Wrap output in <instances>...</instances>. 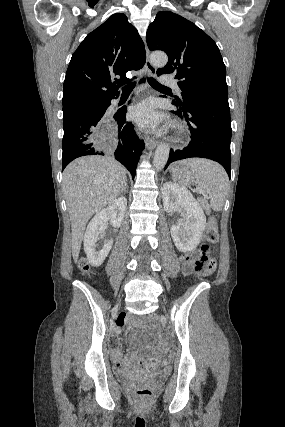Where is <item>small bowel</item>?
<instances>
[{
	"mask_svg": "<svg viewBox=\"0 0 285 427\" xmlns=\"http://www.w3.org/2000/svg\"><path fill=\"white\" fill-rule=\"evenodd\" d=\"M185 261H186L185 257H183L182 258L183 264L185 263ZM127 322H128V318L122 317L115 322V325L118 328H122ZM108 342L112 346L111 358H112L115 366L118 369L123 370V371L128 370L131 367V362L129 360H125L123 358V353H122L120 345L116 342V340L113 337H109ZM140 353H141V351L138 348H136L132 351V355L134 357L139 356Z\"/></svg>",
	"mask_w": 285,
	"mask_h": 427,
	"instance_id": "c3829d8e",
	"label": "small bowel"
}]
</instances>
